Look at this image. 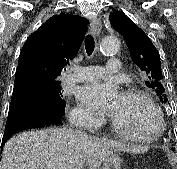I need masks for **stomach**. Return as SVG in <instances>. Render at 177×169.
<instances>
[{"mask_svg": "<svg viewBox=\"0 0 177 169\" xmlns=\"http://www.w3.org/2000/svg\"><path fill=\"white\" fill-rule=\"evenodd\" d=\"M121 161L122 160L120 156L117 153L112 152L104 160L103 166L101 169H120Z\"/></svg>", "mask_w": 177, "mask_h": 169, "instance_id": "1", "label": "stomach"}]
</instances>
